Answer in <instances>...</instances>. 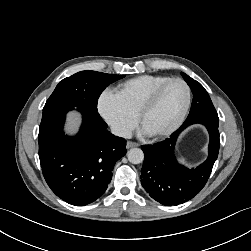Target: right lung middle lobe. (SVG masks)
<instances>
[{"mask_svg":"<svg viewBox=\"0 0 251 251\" xmlns=\"http://www.w3.org/2000/svg\"><path fill=\"white\" fill-rule=\"evenodd\" d=\"M125 75L106 74L96 71H81L59 82L43 110L73 103L97 110L102 91Z\"/></svg>","mask_w":251,"mask_h":251,"instance_id":"obj_1","label":"right lung middle lobe"}]
</instances>
